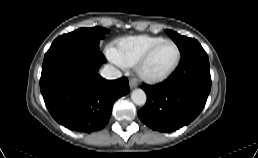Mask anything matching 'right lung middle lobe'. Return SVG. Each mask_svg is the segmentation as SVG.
I'll list each match as a JSON object with an SVG mask.
<instances>
[{
	"instance_id": "1",
	"label": "right lung middle lobe",
	"mask_w": 258,
	"mask_h": 158,
	"mask_svg": "<svg viewBox=\"0 0 258 158\" xmlns=\"http://www.w3.org/2000/svg\"><path fill=\"white\" fill-rule=\"evenodd\" d=\"M107 32L102 27L80 28L56 38L49 50L63 46H84L99 50V41Z\"/></svg>"
}]
</instances>
